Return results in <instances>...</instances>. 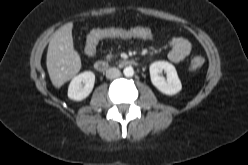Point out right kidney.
<instances>
[{
  "instance_id": "1",
  "label": "right kidney",
  "mask_w": 248,
  "mask_h": 165,
  "mask_svg": "<svg viewBox=\"0 0 248 165\" xmlns=\"http://www.w3.org/2000/svg\"><path fill=\"white\" fill-rule=\"evenodd\" d=\"M95 75L91 71H85L75 76L68 87V97L74 101L85 99L93 90Z\"/></svg>"
}]
</instances>
